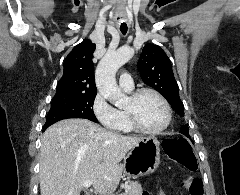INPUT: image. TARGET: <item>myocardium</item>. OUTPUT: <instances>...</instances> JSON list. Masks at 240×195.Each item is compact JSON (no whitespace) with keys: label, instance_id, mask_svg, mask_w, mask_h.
Masks as SVG:
<instances>
[{"label":"myocardium","instance_id":"myocardium-1","mask_svg":"<svg viewBox=\"0 0 240 195\" xmlns=\"http://www.w3.org/2000/svg\"><path fill=\"white\" fill-rule=\"evenodd\" d=\"M147 93H150V94H153L154 96H156L163 106L164 120H163V123L157 128H147V127L143 126L137 115V104H138L140 98L144 94H147ZM124 110L127 114L129 123L132 126V128L135 129L137 132H140L143 134H148V135L159 134L162 131H164L170 124L171 109H170L169 103L166 100V98L159 91L152 89V88H141V89L135 91L129 97L128 103L125 106Z\"/></svg>","mask_w":240,"mask_h":195}]
</instances>
